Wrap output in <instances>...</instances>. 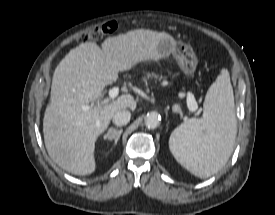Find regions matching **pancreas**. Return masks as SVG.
Listing matches in <instances>:
<instances>
[{"label":"pancreas","mask_w":275,"mask_h":215,"mask_svg":"<svg viewBox=\"0 0 275 215\" xmlns=\"http://www.w3.org/2000/svg\"><path fill=\"white\" fill-rule=\"evenodd\" d=\"M151 77H154V78H162V77H159L158 75L152 73V74H147V78H151ZM144 80L146 81V78H144Z\"/></svg>","instance_id":"1"}]
</instances>
